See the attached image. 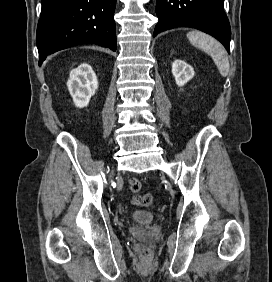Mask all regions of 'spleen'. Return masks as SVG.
Masks as SVG:
<instances>
[{
	"mask_svg": "<svg viewBox=\"0 0 272 282\" xmlns=\"http://www.w3.org/2000/svg\"><path fill=\"white\" fill-rule=\"evenodd\" d=\"M187 38L194 47L212 57L223 77L228 75L230 69L229 61L225 49L218 41L199 31L189 32Z\"/></svg>",
	"mask_w": 272,
	"mask_h": 282,
	"instance_id": "3e777b00",
	"label": "spleen"
}]
</instances>
